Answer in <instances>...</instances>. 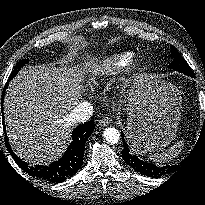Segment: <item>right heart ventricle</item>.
I'll return each instance as SVG.
<instances>
[{
  "mask_svg": "<svg viewBox=\"0 0 205 205\" xmlns=\"http://www.w3.org/2000/svg\"><path fill=\"white\" fill-rule=\"evenodd\" d=\"M134 57L132 52H117L101 57L95 68L96 75H110L124 69Z\"/></svg>",
  "mask_w": 205,
  "mask_h": 205,
  "instance_id": "obj_1",
  "label": "right heart ventricle"
}]
</instances>
